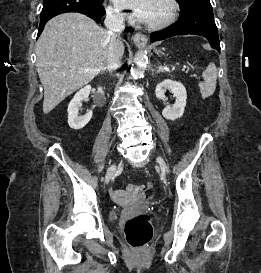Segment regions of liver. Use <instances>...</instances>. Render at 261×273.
Returning <instances> with one entry per match:
<instances>
[{"label": "liver", "mask_w": 261, "mask_h": 273, "mask_svg": "<svg viewBox=\"0 0 261 273\" xmlns=\"http://www.w3.org/2000/svg\"><path fill=\"white\" fill-rule=\"evenodd\" d=\"M109 42L108 31L80 13L61 14L47 22L36 44L45 114L102 71ZM120 49L123 55L122 42Z\"/></svg>", "instance_id": "6515ba94"}]
</instances>
